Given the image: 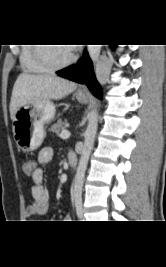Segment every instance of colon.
I'll return each mask as SVG.
<instances>
[{"instance_id":"obj_1","label":"colon","mask_w":166,"mask_h":267,"mask_svg":"<svg viewBox=\"0 0 166 267\" xmlns=\"http://www.w3.org/2000/svg\"><path fill=\"white\" fill-rule=\"evenodd\" d=\"M34 166V161H25L22 165V168L25 173H31L34 169Z\"/></svg>"}]
</instances>
